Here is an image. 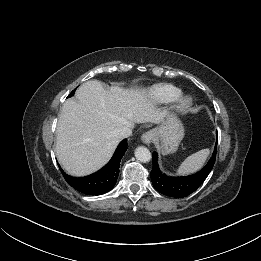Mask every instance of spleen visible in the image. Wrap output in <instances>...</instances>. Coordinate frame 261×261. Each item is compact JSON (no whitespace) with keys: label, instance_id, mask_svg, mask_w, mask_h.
I'll return each mask as SVG.
<instances>
[{"label":"spleen","instance_id":"obj_1","mask_svg":"<svg viewBox=\"0 0 261 261\" xmlns=\"http://www.w3.org/2000/svg\"><path fill=\"white\" fill-rule=\"evenodd\" d=\"M209 153V149H202L188 156L178 168V174L184 175L198 171L204 165Z\"/></svg>","mask_w":261,"mask_h":261}]
</instances>
